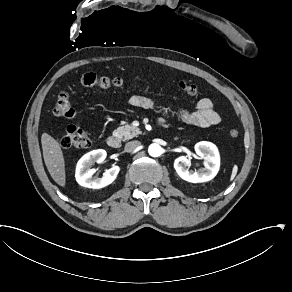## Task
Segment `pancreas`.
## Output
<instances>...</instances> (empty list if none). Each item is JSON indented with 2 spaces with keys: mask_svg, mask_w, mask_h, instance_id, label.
<instances>
[{
  "mask_svg": "<svg viewBox=\"0 0 292 292\" xmlns=\"http://www.w3.org/2000/svg\"><path fill=\"white\" fill-rule=\"evenodd\" d=\"M139 134H141V131L138 127L133 126V125H125V126L118 127L115 130L114 136L125 141V140L132 139Z\"/></svg>",
  "mask_w": 292,
  "mask_h": 292,
  "instance_id": "cf45deb5",
  "label": "pancreas"
}]
</instances>
